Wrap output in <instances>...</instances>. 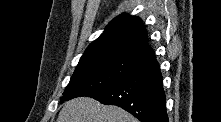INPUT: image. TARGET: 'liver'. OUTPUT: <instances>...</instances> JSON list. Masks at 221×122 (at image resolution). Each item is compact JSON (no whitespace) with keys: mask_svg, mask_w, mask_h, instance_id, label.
Returning a JSON list of instances; mask_svg holds the SVG:
<instances>
[{"mask_svg":"<svg viewBox=\"0 0 221 122\" xmlns=\"http://www.w3.org/2000/svg\"><path fill=\"white\" fill-rule=\"evenodd\" d=\"M57 122H137V119L117 106L103 105L89 97L68 101Z\"/></svg>","mask_w":221,"mask_h":122,"instance_id":"liver-1","label":"liver"}]
</instances>
